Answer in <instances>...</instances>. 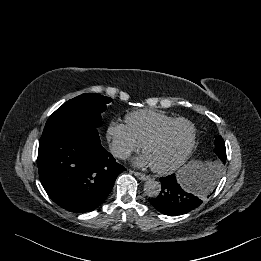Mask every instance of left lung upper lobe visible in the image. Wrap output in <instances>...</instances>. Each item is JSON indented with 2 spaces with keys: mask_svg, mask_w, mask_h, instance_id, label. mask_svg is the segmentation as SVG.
<instances>
[{
  "mask_svg": "<svg viewBox=\"0 0 261 261\" xmlns=\"http://www.w3.org/2000/svg\"><path fill=\"white\" fill-rule=\"evenodd\" d=\"M215 148H214V152L216 153V155L218 156V162L219 163H225L226 161V148H225V143L224 140L221 136H217L215 138Z\"/></svg>",
  "mask_w": 261,
  "mask_h": 261,
  "instance_id": "1",
  "label": "left lung upper lobe"
}]
</instances>
